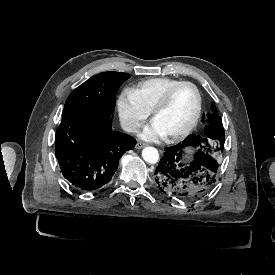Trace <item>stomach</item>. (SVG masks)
Masks as SVG:
<instances>
[{"mask_svg": "<svg viewBox=\"0 0 275 275\" xmlns=\"http://www.w3.org/2000/svg\"><path fill=\"white\" fill-rule=\"evenodd\" d=\"M202 145L197 140H190L180 150L178 166L183 171L192 170L200 160Z\"/></svg>", "mask_w": 275, "mask_h": 275, "instance_id": "obj_1", "label": "stomach"}]
</instances>
